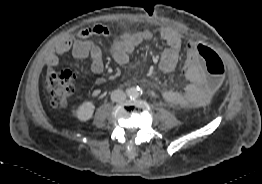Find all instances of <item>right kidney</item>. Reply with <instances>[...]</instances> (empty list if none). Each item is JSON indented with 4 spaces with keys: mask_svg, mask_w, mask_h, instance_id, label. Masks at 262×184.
Masks as SVG:
<instances>
[{
    "mask_svg": "<svg viewBox=\"0 0 262 184\" xmlns=\"http://www.w3.org/2000/svg\"><path fill=\"white\" fill-rule=\"evenodd\" d=\"M95 106L92 102H84L77 110V116L81 121L89 120L94 112Z\"/></svg>",
    "mask_w": 262,
    "mask_h": 184,
    "instance_id": "1",
    "label": "right kidney"
}]
</instances>
